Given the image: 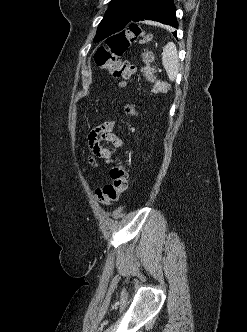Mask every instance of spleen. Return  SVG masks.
<instances>
[{
    "label": "spleen",
    "mask_w": 247,
    "mask_h": 332,
    "mask_svg": "<svg viewBox=\"0 0 247 332\" xmlns=\"http://www.w3.org/2000/svg\"><path fill=\"white\" fill-rule=\"evenodd\" d=\"M162 64L167 72L170 81H174L178 74L179 68L178 53L174 43H167L163 47ZM159 90H163V88L159 87Z\"/></svg>",
    "instance_id": "3e777b00"
}]
</instances>
